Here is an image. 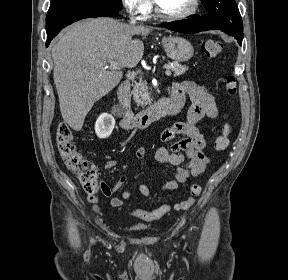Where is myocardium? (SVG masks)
<instances>
[{
    "label": "myocardium",
    "mask_w": 288,
    "mask_h": 280,
    "mask_svg": "<svg viewBox=\"0 0 288 280\" xmlns=\"http://www.w3.org/2000/svg\"><path fill=\"white\" fill-rule=\"evenodd\" d=\"M200 3L201 0H193L191 7L186 10L183 13L180 14H166L164 13L160 7L158 6L157 2H156V7H155V12L157 14L158 17L164 19V20H168V21H180V20H184L187 19L191 16H193L194 14H196V12L198 11L199 7H200Z\"/></svg>",
    "instance_id": "f54148a6"
}]
</instances>
